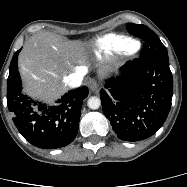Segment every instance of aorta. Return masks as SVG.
<instances>
[{
    "label": "aorta",
    "instance_id": "762f6f07",
    "mask_svg": "<svg viewBox=\"0 0 187 187\" xmlns=\"http://www.w3.org/2000/svg\"><path fill=\"white\" fill-rule=\"evenodd\" d=\"M87 105L90 109L96 110L101 106V101L98 97L92 96L88 99Z\"/></svg>",
    "mask_w": 187,
    "mask_h": 187
}]
</instances>
